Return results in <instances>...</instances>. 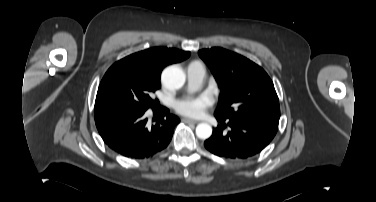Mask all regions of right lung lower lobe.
<instances>
[{"label": "right lung lower lobe", "instance_id": "1", "mask_svg": "<svg viewBox=\"0 0 376 202\" xmlns=\"http://www.w3.org/2000/svg\"><path fill=\"white\" fill-rule=\"evenodd\" d=\"M161 117L148 128L146 110H109L95 114V123L104 142L114 151L134 159L148 158L163 150L170 142L174 127L180 122L161 107Z\"/></svg>", "mask_w": 376, "mask_h": 202}]
</instances>
